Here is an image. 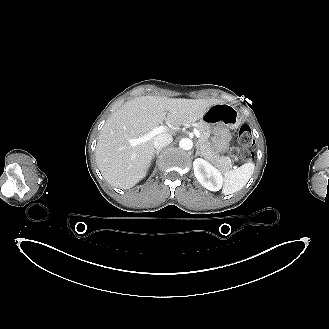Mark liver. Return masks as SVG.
<instances>
[{
	"label": "liver",
	"instance_id": "6515ba94",
	"mask_svg": "<svg viewBox=\"0 0 329 329\" xmlns=\"http://www.w3.org/2000/svg\"><path fill=\"white\" fill-rule=\"evenodd\" d=\"M221 102L214 98L176 99L159 96H142L126 102L107 119L98 137L96 162L104 179L121 189L135 186L151 163L154 139L131 146L129 138L145 135L163 121L172 127L194 123L212 105ZM172 127L164 133L175 134Z\"/></svg>",
	"mask_w": 329,
	"mask_h": 329
}]
</instances>
